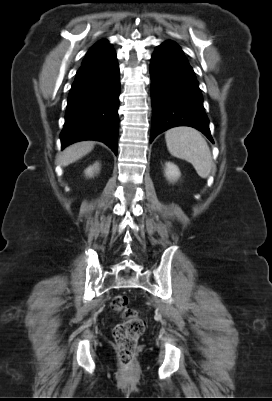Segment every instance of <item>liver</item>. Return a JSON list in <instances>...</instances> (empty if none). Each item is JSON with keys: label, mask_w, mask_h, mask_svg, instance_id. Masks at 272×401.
<instances>
[{"label": "liver", "mask_w": 272, "mask_h": 401, "mask_svg": "<svg viewBox=\"0 0 272 401\" xmlns=\"http://www.w3.org/2000/svg\"><path fill=\"white\" fill-rule=\"evenodd\" d=\"M94 148L93 141H82L68 146L60 157V164L62 166H68L71 163L81 159Z\"/></svg>", "instance_id": "obj_1"}]
</instances>
